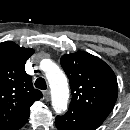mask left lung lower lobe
<instances>
[{
  "instance_id": "0a47b994",
  "label": "left lung lower lobe",
  "mask_w": 130,
  "mask_h": 130,
  "mask_svg": "<svg viewBox=\"0 0 130 130\" xmlns=\"http://www.w3.org/2000/svg\"><path fill=\"white\" fill-rule=\"evenodd\" d=\"M104 119L84 110L69 107L63 116H57L55 125L58 130H96Z\"/></svg>"
}]
</instances>
